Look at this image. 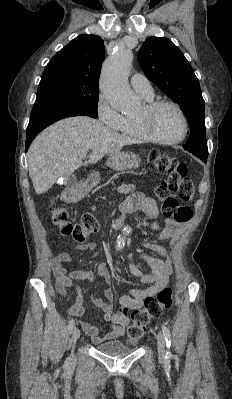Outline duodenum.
Listing matches in <instances>:
<instances>
[{
    "label": "duodenum",
    "instance_id": "obj_1",
    "mask_svg": "<svg viewBox=\"0 0 232 399\" xmlns=\"http://www.w3.org/2000/svg\"><path fill=\"white\" fill-rule=\"evenodd\" d=\"M80 192H81V190L79 188H74V189H72V190H70L68 192V196L71 197V198H75V197H77L80 194Z\"/></svg>",
    "mask_w": 232,
    "mask_h": 399
}]
</instances>
